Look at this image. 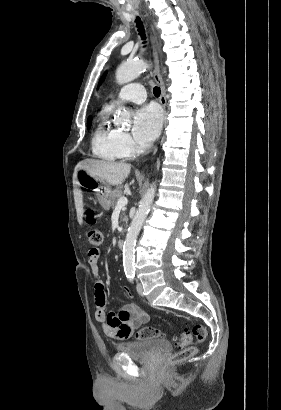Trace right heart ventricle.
<instances>
[{"mask_svg": "<svg viewBox=\"0 0 281 410\" xmlns=\"http://www.w3.org/2000/svg\"><path fill=\"white\" fill-rule=\"evenodd\" d=\"M110 111L106 107L99 114L91 138L92 153L104 161L123 160L127 155L120 142V131L109 122Z\"/></svg>", "mask_w": 281, "mask_h": 410, "instance_id": "obj_1", "label": "right heart ventricle"}]
</instances>
